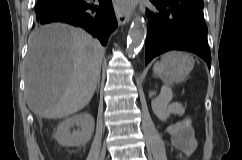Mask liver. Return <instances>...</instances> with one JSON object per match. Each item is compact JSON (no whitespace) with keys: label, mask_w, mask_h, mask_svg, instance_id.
Instances as JSON below:
<instances>
[{"label":"liver","mask_w":242,"mask_h":160,"mask_svg":"<svg viewBox=\"0 0 242 160\" xmlns=\"http://www.w3.org/2000/svg\"><path fill=\"white\" fill-rule=\"evenodd\" d=\"M26 57L27 105L47 119L68 117L92 99L105 49L84 30L54 24L29 37Z\"/></svg>","instance_id":"1"}]
</instances>
